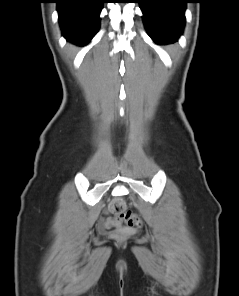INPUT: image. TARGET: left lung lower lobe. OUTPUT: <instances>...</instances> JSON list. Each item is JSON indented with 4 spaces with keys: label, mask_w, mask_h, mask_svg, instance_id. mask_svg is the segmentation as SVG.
Wrapping results in <instances>:
<instances>
[{
    "label": "left lung lower lobe",
    "mask_w": 239,
    "mask_h": 296,
    "mask_svg": "<svg viewBox=\"0 0 239 296\" xmlns=\"http://www.w3.org/2000/svg\"><path fill=\"white\" fill-rule=\"evenodd\" d=\"M145 27L158 44L175 42L183 32L188 0H138Z\"/></svg>",
    "instance_id": "0a47b994"
}]
</instances>
